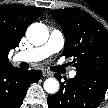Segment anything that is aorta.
<instances>
[{
  "label": "aorta",
  "mask_w": 108,
  "mask_h": 108,
  "mask_svg": "<svg viewBox=\"0 0 108 108\" xmlns=\"http://www.w3.org/2000/svg\"><path fill=\"white\" fill-rule=\"evenodd\" d=\"M26 37L28 41L36 46L43 45L49 38V31L45 24L33 23L27 31ZM44 90L49 94H55L59 90V82L55 78H48L44 82Z\"/></svg>",
  "instance_id": "762f6f07"
}]
</instances>
